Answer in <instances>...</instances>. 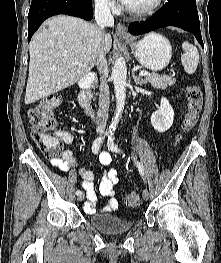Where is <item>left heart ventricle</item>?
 I'll return each mask as SVG.
<instances>
[{"label": "left heart ventricle", "mask_w": 221, "mask_h": 263, "mask_svg": "<svg viewBox=\"0 0 221 263\" xmlns=\"http://www.w3.org/2000/svg\"><path fill=\"white\" fill-rule=\"evenodd\" d=\"M156 0H129L127 5L132 8H146L150 5H152Z\"/></svg>", "instance_id": "obj_1"}]
</instances>
